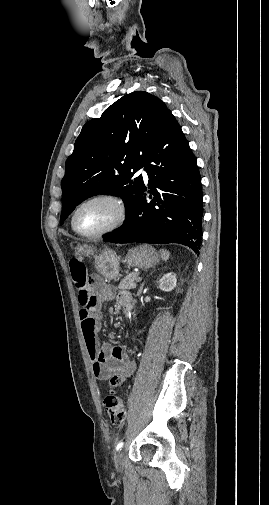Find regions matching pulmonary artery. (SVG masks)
Returning <instances> with one entry per match:
<instances>
[{"instance_id":"e3ab8cb5","label":"pulmonary artery","mask_w":269,"mask_h":505,"mask_svg":"<svg viewBox=\"0 0 269 505\" xmlns=\"http://www.w3.org/2000/svg\"><path fill=\"white\" fill-rule=\"evenodd\" d=\"M138 175H142L143 179L145 181H148L149 177H148V173L146 171V169L144 167H141L138 172H137Z\"/></svg>"}]
</instances>
